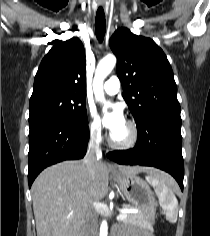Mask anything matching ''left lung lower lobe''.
Returning <instances> with one entry per match:
<instances>
[{"mask_svg":"<svg viewBox=\"0 0 210 236\" xmlns=\"http://www.w3.org/2000/svg\"><path fill=\"white\" fill-rule=\"evenodd\" d=\"M138 139L133 149L107 154L122 165L153 166L170 173L183 190L184 163L180 114H152L137 124Z\"/></svg>","mask_w":210,"mask_h":236,"instance_id":"left-lung-lower-lobe-1","label":"left lung lower lobe"}]
</instances>
